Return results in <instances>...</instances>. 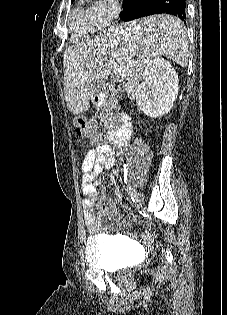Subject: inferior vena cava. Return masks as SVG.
<instances>
[{"instance_id":"602c4592","label":"inferior vena cava","mask_w":227,"mask_h":315,"mask_svg":"<svg viewBox=\"0 0 227 315\" xmlns=\"http://www.w3.org/2000/svg\"><path fill=\"white\" fill-rule=\"evenodd\" d=\"M115 16H118V12H116Z\"/></svg>"}]
</instances>
